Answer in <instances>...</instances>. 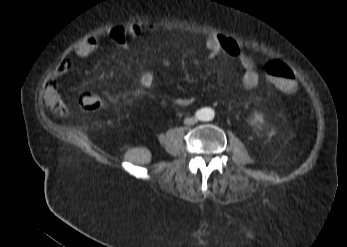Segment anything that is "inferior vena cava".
Listing matches in <instances>:
<instances>
[{"label":"inferior vena cava","mask_w":347,"mask_h":247,"mask_svg":"<svg viewBox=\"0 0 347 247\" xmlns=\"http://www.w3.org/2000/svg\"><path fill=\"white\" fill-rule=\"evenodd\" d=\"M196 122H197L196 118H190V119H189V123H190V124H194V123H196Z\"/></svg>","instance_id":"obj_1"}]
</instances>
